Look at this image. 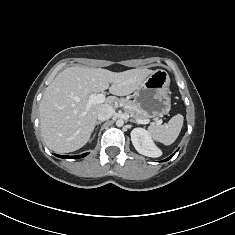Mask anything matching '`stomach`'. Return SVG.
I'll list each match as a JSON object with an SVG mask.
<instances>
[{"mask_svg": "<svg viewBox=\"0 0 235 235\" xmlns=\"http://www.w3.org/2000/svg\"><path fill=\"white\" fill-rule=\"evenodd\" d=\"M170 78L165 70L149 75L134 93V101L151 118L162 117L171 109Z\"/></svg>", "mask_w": 235, "mask_h": 235, "instance_id": "0dacf381", "label": "stomach"}]
</instances>
